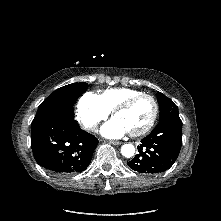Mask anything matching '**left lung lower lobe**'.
Instances as JSON below:
<instances>
[{
    "label": "left lung lower lobe",
    "instance_id": "obj_1",
    "mask_svg": "<svg viewBox=\"0 0 221 221\" xmlns=\"http://www.w3.org/2000/svg\"><path fill=\"white\" fill-rule=\"evenodd\" d=\"M182 145V121L167 119L141 140L137 154L128 166L140 173H160L176 161Z\"/></svg>",
    "mask_w": 221,
    "mask_h": 221
}]
</instances>
